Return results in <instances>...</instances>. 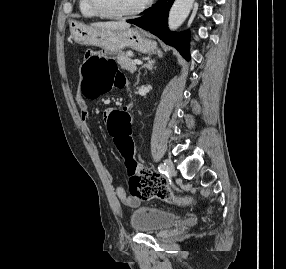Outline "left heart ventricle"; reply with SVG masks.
I'll list each match as a JSON object with an SVG mask.
<instances>
[{"mask_svg":"<svg viewBox=\"0 0 286 269\" xmlns=\"http://www.w3.org/2000/svg\"><path fill=\"white\" fill-rule=\"evenodd\" d=\"M146 0H100L102 7L112 13L129 12L140 5Z\"/></svg>","mask_w":286,"mask_h":269,"instance_id":"obj_1","label":"left heart ventricle"}]
</instances>
